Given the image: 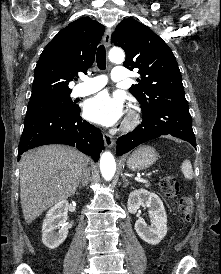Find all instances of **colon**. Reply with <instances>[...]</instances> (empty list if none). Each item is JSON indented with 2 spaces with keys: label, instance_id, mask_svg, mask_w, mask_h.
<instances>
[{
  "label": "colon",
  "instance_id": "colon-1",
  "mask_svg": "<svg viewBox=\"0 0 221 274\" xmlns=\"http://www.w3.org/2000/svg\"><path fill=\"white\" fill-rule=\"evenodd\" d=\"M162 193L168 198H175L179 192V184L172 176H166L160 183ZM179 213L182 218L188 220L193 213V202L189 197H184L179 201Z\"/></svg>",
  "mask_w": 221,
  "mask_h": 274
}]
</instances>
